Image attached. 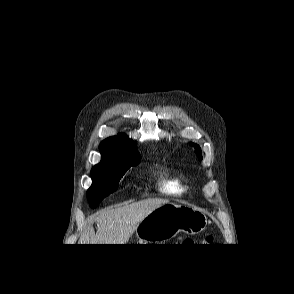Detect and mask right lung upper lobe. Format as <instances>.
<instances>
[{"instance_id":"obj_1","label":"right lung upper lobe","mask_w":294,"mask_h":294,"mask_svg":"<svg viewBox=\"0 0 294 294\" xmlns=\"http://www.w3.org/2000/svg\"><path fill=\"white\" fill-rule=\"evenodd\" d=\"M100 153L102 160L107 159H122L134 160L140 159L136 143L129 139L125 134H118L116 136L105 139L100 144Z\"/></svg>"}]
</instances>
